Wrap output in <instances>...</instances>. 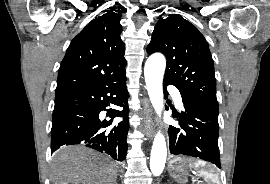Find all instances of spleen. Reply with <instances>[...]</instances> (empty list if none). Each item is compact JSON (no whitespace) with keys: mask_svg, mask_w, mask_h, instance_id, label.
<instances>
[{"mask_svg":"<svg viewBox=\"0 0 270 184\" xmlns=\"http://www.w3.org/2000/svg\"><path fill=\"white\" fill-rule=\"evenodd\" d=\"M193 166L198 170L199 175L204 177L205 180L209 181V184H220L219 177L216 173L207 167L203 161H197Z\"/></svg>","mask_w":270,"mask_h":184,"instance_id":"1","label":"spleen"}]
</instances>
